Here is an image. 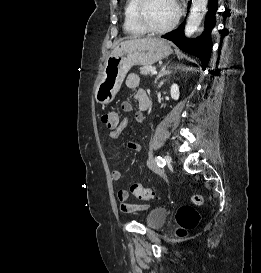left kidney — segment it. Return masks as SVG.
Returning <instances> with one entry per match:
<instances>
[{
    "label": "left kidney",
    "mask_w": 261,
    "mask_h": 273,
    "mask_svg": "<svg viewBox=\"0 0 261 273\" xmlns=\"http://www.w3.org/2000/svg\"><path fill=\"white\" fill-rule=\"evenodd\" d=\"M171 98L173 100H178L180 96L179 87L177 84H173L170 89Z\"/></svg>",
    "instance_id": "left-kidney-1"
}]
</instances>
